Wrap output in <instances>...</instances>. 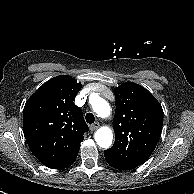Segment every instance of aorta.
<instances>
[{
  "instance_id": "obj_1",
  "label": "aorta",
  "mask_w": 194,
  "mask_h": 194,
  "mask_svg": "<svg viewBox=\"0 0 194 194\" xmlns=\"http://www.w3.org/2000/svg\"><path fill=\"white\" fill-rule=\"evenodd\" d=\"M92 108L94 112L101 118H106L110 115V105L109 103L101 98L96 97L91 101ZM95 141L98 144V146L102 148H109L112 145L113 140V132L109 127H100L95 132Z\"/></svg>"
}]
</instances>
